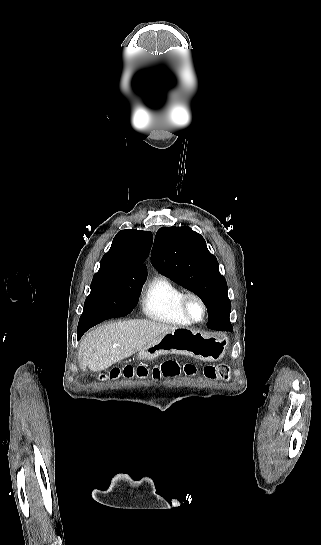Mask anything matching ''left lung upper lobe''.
I'll return each instance as SVG.
<instances>
[{
	"label": "left lung upper lobe",
	"instance_id": "5c2ea615",
	"mask_svg": "<svg viewBox=\"0 0 321 545\" xmlns=\"http://www.w3.org/2000/svg\"><path fill=\"white\" fill-rule=\"evenodd\" d=\"M151 261L161 274L199 296L208 310L230 315L228 287L217 259L204 238L190 227L160 228Z\"/></svg>",
	"mask_w": 321,
	"mask_h": 545
}]
</instances>
